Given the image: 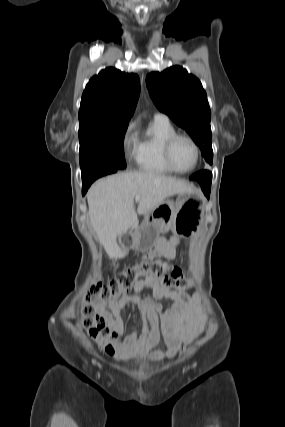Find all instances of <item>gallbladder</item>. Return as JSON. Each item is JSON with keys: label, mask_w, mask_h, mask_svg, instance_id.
<instances>
[{"label": "gallbladder", "mask_w": 285, "mask_h": 427, "mask_svg": "<svg viewBox=\"0 0 285 427\" xmlns=\"http://www.w3.org/2000/svg\"><path fill=\"white\" fill-rule=\"evenodd\" d=\"M125 237H126V235H123V236L121 237V240H120V245H121V246H123V245H124Z\"/></svg>", "instance_id": "1"}]
</instances>
